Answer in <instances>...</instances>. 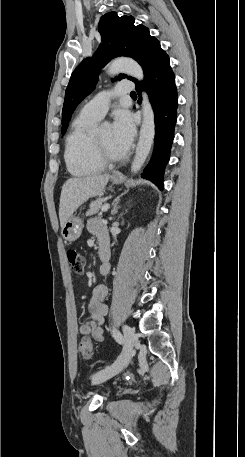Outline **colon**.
I'll use <instances>...</instances> for the list:
<instances>
[{"mask_svg": "<svg viewBox=\"0 0 245 457\" xmlns=\"http://www.w3.org/2000/svg\"><path fill=\"white\" fill-rule=\"evenodd\" d=\"M67 259L71 269L76 274H81L84 269L85 259L77 250L70 249L67 251ZM79 353L84 359H90L93 353V346L90 338L84 337L79 343Z\"/></svg>", "mask_w": 245, "mask_h": 457, "instance_id": "colon-1", "label": "colon"}]
</instances>
